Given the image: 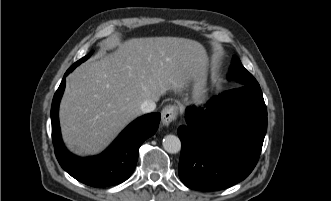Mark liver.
I'll return each instance as SVG.
<instances>
[{"mask_svg":"<svg viewBox=\"0 0 331 201\" xmlns=\"http://www.w3.org/2000/svg\"><path fill=\"white\" fill-rule=\"evenodd\" d=\"M207 62L197 41L178 37L133 38L67 78L59 118L63 141L73 153L101 152L133 119L146 99L182 93Z\"/></svg>","mask_w":331,"mask_h":201,"instance_id":"obj_1","label":"liver"}]
</instances>
